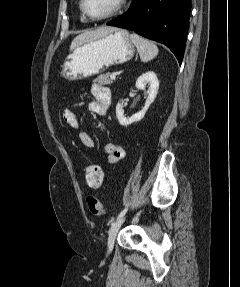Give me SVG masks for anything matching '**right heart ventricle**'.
<instances>
[{"mask_svg":"<svg viewBox=\"0 0 240 287\" xmlns=\"http://www.w3.org/2000/svg\"><path fill=\"white\" fill-rule=\"evenodd\" d=\"M79 6H80V4H79ZM81 18H82V20H85V16L83 15V13L81 14Z\"/></svg>","mask_w":240,"mask_h":287,"instance_id":"right-heart-ventricle-1","label":"right heart ventricle"}]
</instances>
